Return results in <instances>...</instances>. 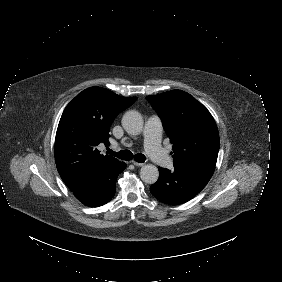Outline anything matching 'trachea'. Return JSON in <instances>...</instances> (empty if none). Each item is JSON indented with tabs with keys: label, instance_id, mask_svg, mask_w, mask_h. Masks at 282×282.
I'll return each instance as SVG.
<instances>
[{
	"label": "trachea",
	"instance_id": "3493384b",
	"mask_svg": "<svg viewBox=\"0 0 282 282\" xmlns=\"http://www.w3.org/2000/svg\"><path fill=\"white\" fill-rule=\"evenodd\" d=\"M107 153L111 154L122 160H132L134 159L136 162L143 163L146 161V156L144 154H135L133 155L130 150H121L119 152H114L111 149H107Z\"/></svg>",
	"mask_w": 282,
	"mask_h": 282
}]
</instances>
